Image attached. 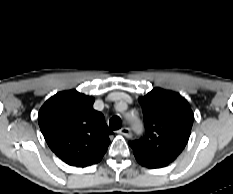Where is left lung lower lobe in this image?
Segmentation results:
<instances>
[{"label":"left lung lower lobe","instance_id":"0a47b994","mask_svg":"<svg viewBox=\"0 0 233 194\" xmlns=\"http://www.w3.org/2000/svg\"><path fill=\"white\" fill-rule=\"evenodd\" d=\"M137 161H138L142 166H145V167H148V168H160V167L167 166V164L151 162V161H147V160H144V159H137Z\"/></svg>","mask_w":233,"mask_h":194}]
</instances>
